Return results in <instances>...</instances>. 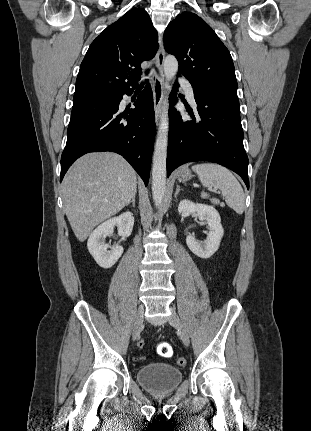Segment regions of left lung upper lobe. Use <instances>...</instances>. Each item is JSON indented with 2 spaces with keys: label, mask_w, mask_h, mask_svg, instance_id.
I'll use <instances>...</instances> for the list:
<instances>
[{
  "label": "left lung upper lobe",
  "mask_w": 311,
  "mask_h": 431,
  "mask_svg": "<svg viewBox=\"0 0 311 431\" xmlns=\"http://www.w3.org/2000/svg\"><path fill=\"white\" fill-rule=\"evenodd\" d=\"M166 52L179 62L178 75L195 91L237 92L231 55L212 28L191 12L178 15L164 33Z\"/></svg>",
  "instance_id": "left-lung-upper-lobe-1"
}]
</instances>
